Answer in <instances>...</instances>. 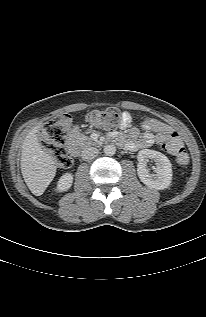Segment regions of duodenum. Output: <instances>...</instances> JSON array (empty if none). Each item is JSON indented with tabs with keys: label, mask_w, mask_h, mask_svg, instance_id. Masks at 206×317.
<instances>
[{
	"label": "duodenum",
	"mask_w": 206,
	"mask_h": 317,
	"mask_svg": "<svg viewBox=\"0 0 206 317\" xmlns=\"http://www.w3.org/2000/svg\"><path fill=\"white\" fill-rule=\"evenodd\" d=\"M67 149H68L69 153L74 157H77L80 154V148H79L78 144L73 139H70L68 141Z\"/></svg>",
	"instance_id": "410a0bca"
}]
</instances>
